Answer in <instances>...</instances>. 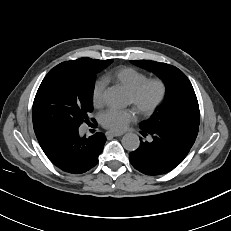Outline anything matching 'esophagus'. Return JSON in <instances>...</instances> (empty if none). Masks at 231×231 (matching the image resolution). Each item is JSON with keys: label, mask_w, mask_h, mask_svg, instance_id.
Returning <instances> with one entry per match:
<instances>
[{"label": "esophagus", "mask_w": 231, "mask_h": 231, "mask_svg": "<svg viewBox=\"0 0 231 231\" xmlns=\"http://www.w3.org/2000/svg\"><path fill=\"white\" fill-rule=\"evenodd\" d=\"M124 133L123 132H107L106 136L107 137H117V136H122Z\"/></svg>", "instance_id": "obj_1"}]
</instances>
